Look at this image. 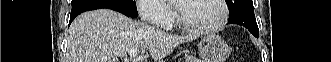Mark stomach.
<instances>
[{
  "instance_id": "stomach-1",
  "label": "stomach",
  "mask_w": 331,
  "mask_h": 62,
  "mask_svg": "<svg viewBox=\"0 0 331 62\" xmlns=\"http://www.w3.org/2000/svg\"><path fill=\"white\" fill-rule=\"evenodd\" d=\"M198 50L203 62H225L230 53L228 44L216 34L204 36L198 43Z\"/></svg>"
}]
</instances>
